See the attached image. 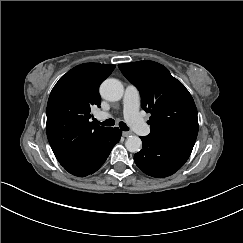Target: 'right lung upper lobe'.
Here are the masks:
<instances>
[{"label":"right lung upper lobe","instance_id":"cb5924a9","mask_svg":"<svg viewBox=\"0 0 243 243\" xmlns=\"http://www.w3.org/2000/svg\"><path fill=\"white\" fill-rule=\"evenodd\" d=\"M115 65L85 63L63 75L49 96L47 137L64 167L84 155L109 129L90 122L91 108L100 107L99 86Z\"/></svg>","mask_w":243,"mask_h":243}]
</instances>
